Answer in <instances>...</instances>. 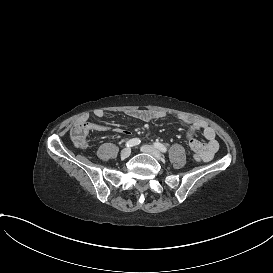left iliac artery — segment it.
Returning <instances> with one entry per match:
<instances>
[{
	"instance_id": "1",
	"label": "left iliac artery",
	"mask_w": 273,
	"mask_h": 273,
	"mask_svg": "<svg viewBox=\"0 0 273 273\" xmlns=\"http://www.w3.org/2000/svg\"><path fill=\"white\" fill-rule=\"evenodd\" d=\"M154 146L163 153L167 152V148L163 144H161L159 142L154 143Z\"/></svg>"
}]
</instances>
